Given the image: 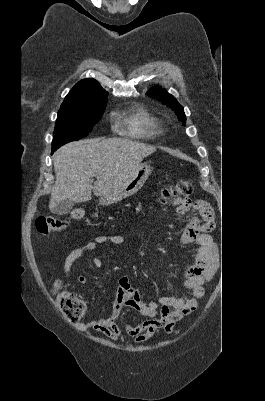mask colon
Listing matches in <instances>:
<instances>
[{"label": "colon", "instance_id": "obj_1", "mask_svg": "<svg viewBox=\"0 0 265 401\" xmlns=\"http://www.w3.org/2000/svg\"><path fill=\"white\" fill-rule=\"evenodd\" d=\"M194 189V183L191 179H185L171 184L161 191V201L166 203L169 200L177 198H187ZM84 210L77 208L71 211L70 218L80 220L84 217ZM67 225L66 220H61L55 217H39L35 220V228L37 232L43 236L57 230H61ZM53 292L56 296V303L63 317L72 324L80 321L85 313V303L76 295L69 291L61 289V283L56 282L53 287ZM166 332H171L172 328L169 324L164 326Z\"/></svg>", "mask_w": 265, "mask_h": 401}]
</instances>
